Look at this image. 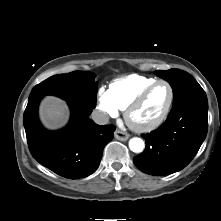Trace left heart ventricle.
Instances as JSON below:
<instances>
[{
	"mask_svg": "<svg viewBox=\"0 0 221 221\" xmlns=\"http://www.w3.org/2000/svg\"><path fill=\"white\" fill-rule=\"evenodd\" d=\"M169 95V88L165 84L156 86L135 111L134 120L137 123L146 124L158 119L168 103Z\"/></svg>",
	"mask_w": 221,
	"mask_h": 221,
	"instance_id": "1",
	"label": "left heart ventricle"
}]
</instances>
